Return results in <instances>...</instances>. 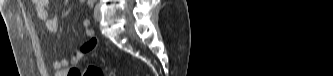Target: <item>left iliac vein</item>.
<instances>
[{
	"instance_id": "1",
	"label": "left iliac vein",
	"mask_w": 333,
	"mask_h": 76,
	"mask_svg": "<svg viewBox=\"0 0 333 76\" xmlns=\"http://www.w3.org/2000/svg\"><path fill=\"white\" fill-rule=\"evenodd\" d=\"M94 19L96 21H99L101 19V13L99 11V7L96 6L95 9H94Z\"/></svg>"
}]
</instances>
